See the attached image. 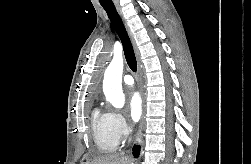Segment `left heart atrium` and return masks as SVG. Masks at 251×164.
Masks as SVG:
<instances>
[{
	"mask_svg": "<svg viewBox=\"0 0 251 164\" xmlns=\"http://www.w3.org/2000/svg\"><path fill=\"white\" fill-rule=\"evenodd\" d=\"M128 111L133 121L139 120L142 114V100L138 92L133 91L128 95Z\"/></svg>",
	"mask_w": 251,
	"mask_h": 164,
	"instance_id": "1",
	"label": "left heart atrium"
}]
</instances>
